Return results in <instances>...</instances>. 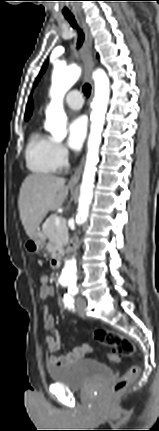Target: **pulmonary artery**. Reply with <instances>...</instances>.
Returning <instances> with one entry per match:
<instances>
[{
    "instance_id": "1",
    "label": "pulmonary artery",
    "mask_w": 159,
    "mask_h": 431,
    "mask_svg": "<svg viewBox=\"0 0 159 431\" xmlns=\"http://www.w3.org/2000/svg\"><path fill=\"white\" fill-rule=\"evenodd\" d=\"M64 102L69 108L79 110L83 106L82 94L78 90H71L65 96Z\"/></svg>"
}]
</instances>
